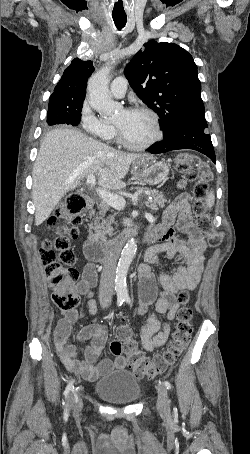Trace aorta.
Listing matches in <instances>:
<instances>
[{
    "mask_svg": "<svg viewBox=\"0 0 250 454\" xmlns=\"http://www.w3.org/2000/svg\"><path fill=\"white\" fill-rule=\"evenodd\" d=\"M112 68L113 62L107 63L90 77L87 85L90 106L104 117L113 116L121 108L120 104L113 101L109 91V75ZM136 250L135 240L130 239L121 252L115 277V291L118 300L128 298L126 276Z\"/></svg>",
    "mask_w": 250,
    "mask_h": 454,
    "instance_id": "obj_1",
    "label": "aorta"
}]
</instances>
